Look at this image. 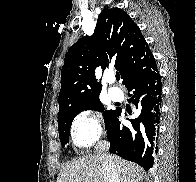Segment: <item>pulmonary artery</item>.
I'll use <instances>...</instances> for the list:
<instances>
[{
    "mask_svg": "<svg viewBox=\"0 0 196 182\" xmlns=\"http://www.w3.org/2000/svg\"><path fill=\"white\" fill-rule=\"evenodd\" d=\"M111 83H113V81H111ZM108 94L111 97V99L114 101H119L123 96L122 90L119 89L118 87H110L108 89Z\"/></svg>",
    "mask_w": 196,
    "mask_h": 182,
    "instance_id": "e3ab8cb5",
    "label": "pulmonary artery"
}]
</instances>
